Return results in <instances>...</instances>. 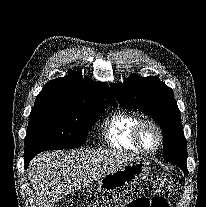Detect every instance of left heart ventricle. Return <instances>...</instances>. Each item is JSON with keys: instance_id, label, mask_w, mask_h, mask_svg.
<instances>
[{"instance_id": "1", "label": "left heart ventricle", "mask_w": 206, "mask_h": 207, "mask_svg": "<svg viewBox=\"0 0 206 207\" xmlns=\"http://www.w3.org/2000/svg\"><path fill=\"white\" fill-rule=\"evenodd\" d=\"M140 139L147 149L155 148L159 141L157 131L151 125H144L141 128Z\"/></svg>"}]
</instances>
